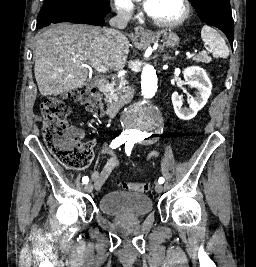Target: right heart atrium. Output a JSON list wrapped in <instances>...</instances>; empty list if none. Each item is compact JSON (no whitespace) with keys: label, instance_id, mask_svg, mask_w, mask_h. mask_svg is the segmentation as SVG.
<instances>
[{"label":"right heart atrium","instance_id":"obj_1","mask_svg":"<svg viewBox=\"0 0 256 267\" xmlns=\"http://www.w3.org/2000/svg\"><path fill=\"white\" fill-rule=\"evenodd\" d=\"M126 17L129 18L130 17V14L129 13H126Z\"/></svg>","mask_w":256,"mask_h":267}]
</instances>
